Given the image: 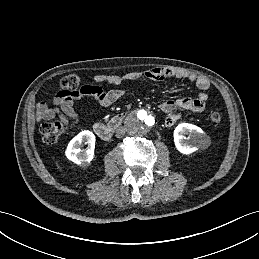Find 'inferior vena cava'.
Masks as SVG:
<instances>
[{
	"label": "inferior vena cava",
	"instance_id": "obj_1",
	"mask_svg": "<svg viewBox=\"0 0 259 259\" xmlns=\"http://www.w3.org/2000/svg\"><path fill=\"white\" fill-rule=\"evenodd\" d=\"M126 132H127V129L125 127H119L116 130V137L122 138L125 135Z\"/></svg>",
	"mask_w": 259,
	"mask_h": 259
}]
</instances>
